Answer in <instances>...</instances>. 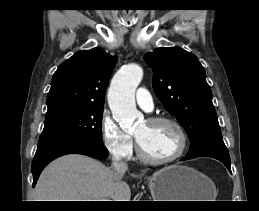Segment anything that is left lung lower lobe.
<instances>
[{"label": "left lung lower lobe", "mask_w": 259, "mask_h": 211, "mask_svg": "<svg viewBox=\"0 0 259 211\" xmlns=\"http://www.w3.org/2000/svg\"><path fill=\"white\" fill-rule=\"evenodd\" d=\"M196 157H212L215 158L219 161H221L227 168L228 170L231 172V168H230V158H229V154H223V153H218V152H201L192 156H186L185 158H183L182 160H187V159H193Z\"/></svg>", "instance_id": "0a47b994"}]
</instances>
